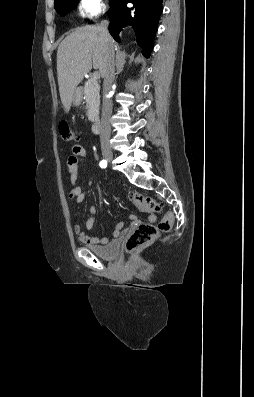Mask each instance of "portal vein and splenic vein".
I'll list each match as a JSON object with an SVG mask.
<instances>
[{
	"instance_id": "obj_1",
	"label": "portal vein and splenic vein",
	"mask_w": 254,
	"mask_h": 397,
	"mask_svg": "<svg viewBox=\"0 0 254 397\" xmlns=\"http://www.w3.org/2000/svg\"><path fill=\"white\" fill-rule=\"evenodd\" d=\"M99 77H100L99 73L98 72H94L93 76H92V79L93 80H97Z\"/></svg>"
}]
</instances>
